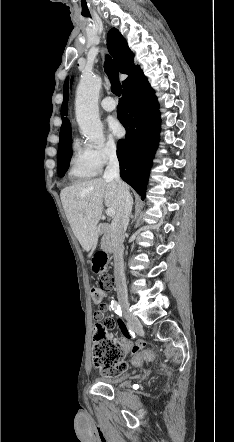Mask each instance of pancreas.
Returning a JSON list of instances; mask_svg holds the SVG:
<instances>
[{
  "mask_svg": "<svg viewBox=\"0 0 234 442\" xmlns=\"http://www.w3.org/2000/svg\"><path fill=\"white\" fill-rule=\"evenodd\" d=\"M108 240H109V233L106 231L104 234L103 240L101 242V247L103 249L110 251L111 248H110V245L107 243Z\"/></svg>",
  "mask_w": 234,
  "mask_h": 442,
  "instance_id": "obj_1",
  "label": "pancreas"
}]
</instances>
